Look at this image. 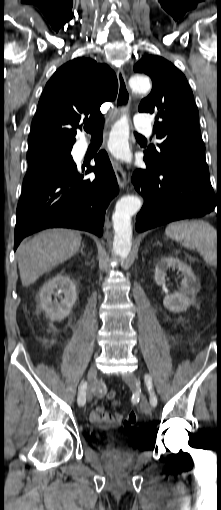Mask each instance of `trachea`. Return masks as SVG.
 I'll return each mask as SVG.
<instances>
[{
    "instance_id": "3493384b",
    "label": "trachea",
    "mask_w": 221,
    "mask_h": 510,
    "mask_svg": "<svg viewBox=\"0 0 221 510\" xmlns=\"http://www.w3.org/2000/svg\"><path fill=\"white\" fill-rule=\"evenodd\" d=\"M104 128V119H102L96 126L85 128V130L92 135L93 140H102ZM135 136L142 137L135 133Z\"/></svg>"
}]
</instances>
